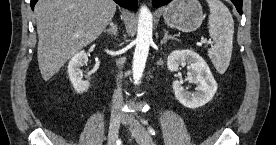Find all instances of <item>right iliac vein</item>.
I'll use <instances>...</instances> for the list:
<instances>
[{
	"label": "right iliac vein",
	"mask_w": 276,
	"mask_h": 145,
	"mask_svg": "<svg viewBox=\"0 0 276 145\" xmlns=\"http://www.w3.org/2000/svg\"><path fill=\"white\" fill-rule=\"evenodd\" d=\"M123 118L120 115H113L110 119L108 132V145H115L118 139L120 124Z\"/></svg>",
	"instance_id": "63e3f726"
}]
</instances>
